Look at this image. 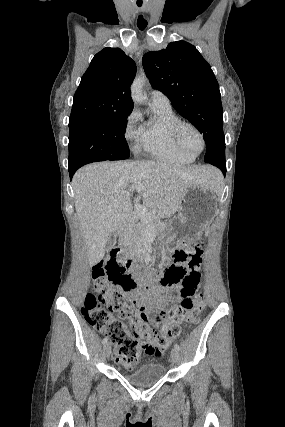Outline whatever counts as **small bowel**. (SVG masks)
I'll use <instances>...</instances> for the list:
<instances>
[{
  "mask_svg": "<svg viewBox=\"0 0 285 427\" xmlns=\"http://www.w3.org/2000/svg\"><path fill=\"white\" fill-rule=\"evenodd\" d=\"M201 250L196 249V255L193 256L186 264L187 270L192 274H199V265L201 262ZM184 290L181 286H176L171 289L159 288L155 297L149 299L147 302L150 309L147 311L150 315L147 319L148 325H163V315L170 309L171 305L180 300L184 296Z\"/></svg>",
  "mask_w": 285,
  "mask_h": 427,
  "instance_id": "obj_1",
  "label": "small bowel"
}]
</instances>
